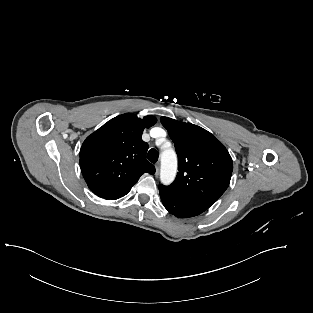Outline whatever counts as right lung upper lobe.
Masks as SVG:
<instances>
[{
    "instance_id": "right-lung-upper-lobe-1",
    "label": "right lung upper lobe",
    "mask_w": 313,
    "mask_h": 313,
    "mask_svg": "<svg viewBox=\"0 0 313 313\" xmlns=\"http://www.w3.org/2000/svg\"><path fill=\"white\" fill-rule=\"evenodd\" d=\"M154 116L143 119L126 113L96 130L83 142L80 167L90 190L101 198L131 189L144 173H155L146 160L148 144L143 130L156 123Z\"/></svg>"
}]
</instances>
